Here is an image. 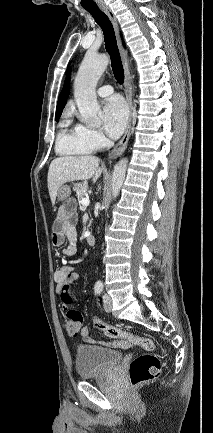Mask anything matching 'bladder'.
<instances>
[{
  "mask_svg": "<svg viewBox=\"0 0 213 433\" xmlns=\"http://www.w3.org/2000/svg\"><path fill=\"white\" fill-rule=\"evenodd\" d=\"M124 358L120 351L96 345L76 347V371L81 379H92L109 374Z\"/></svg>",
  "mask_w": 213,
  "mask_h": 433,
  "instance_id": "obj_1",
  "label": "bladder"
}]
</instances>
